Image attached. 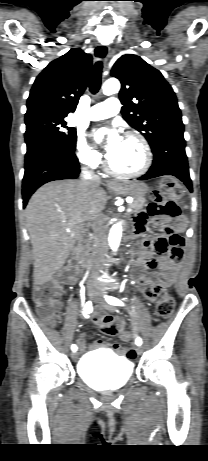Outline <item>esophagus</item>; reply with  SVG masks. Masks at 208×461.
<instances>
[{
    "label": "esophagus",
    "mask_w": 208,
    "mask_h": 461,
    "mask_svg": "<svg viewBox=\"0 0 208 461\" xmlns=\"http://www.w3.org/2000/svg\"><path fill=\"white\" fill-rule=\"evenodd\" d=\"M104 52V60L107 61L110 57V47L109 46H101L99 49H98V54ZM108 186H114L115 184L113 182H108L107 183Z\"/></svg>",
    "instance_id": "1"
}]
</instances>
